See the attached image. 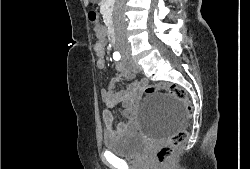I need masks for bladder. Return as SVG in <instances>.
<instances>
[{"label": "bladder", "instance_id": "1", "mask_svg": "<svg viewBox=\"0 0 250 169\" xmlns=\"http://www.w3.org/2000/svg\"><path fill=\"white\" fill-rule=\"evenodd\" d=\"M103 145L107 151L123 158L140 157L150 147L141 133H108L103 138Z\"/></svg>", "mask_w": 250, "mask_h": 169}]
</instances>
